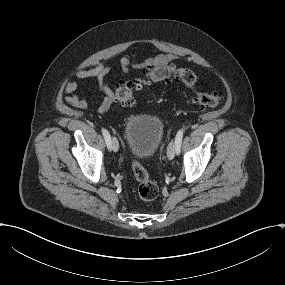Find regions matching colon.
<instances>
[{"label": "colon", "instance_id": "colon-1", "mask_svg": "<svg viewBox=\"0 0 285 285\" xmlns=\"http://www.w3.org/2000/svg\"><path fill=\"white\" fill-rule=\"evenodd\" d=\"M177 81L185 84L192 91V102L201 109H212L221 103L219 92H203L199 89L196 75L189 69L176 65H161L144 69L138 78L122 80L117 83L114 101L121 106L134 103L137 91L153 83ZM132 170L138 182V195L144 201L154 200L158 196V187L150 179L145 167L137 160L132 163Z\"/></svg>", "mask_w": 285, "mask_h": 285}]
</instances>
